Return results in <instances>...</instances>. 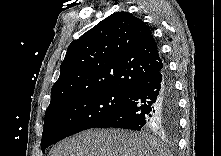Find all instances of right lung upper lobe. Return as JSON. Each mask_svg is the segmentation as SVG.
<instances>
[{
    "label": "right lung upper lobe",
    "mask_w": 221,
    "mask_h": 156,
    "mask_svg": "<svg viewBox=\"0 0 221 156\" xmlns=\"http://www.w3.org/2000/svg\"><path fill=\"white\" fill-rule=\"evenodd\" d=\"M164 67L145 22L128 12L113 13L69 45L49 107L80 94L129 93Z\"/></svg>",
    "instance_id": "cb5924a9"
}]
</instances>
